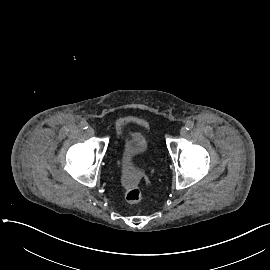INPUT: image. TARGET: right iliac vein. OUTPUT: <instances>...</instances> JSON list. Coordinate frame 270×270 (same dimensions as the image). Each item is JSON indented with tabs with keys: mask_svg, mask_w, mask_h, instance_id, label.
I'll return each instance as SVG.
<instances>
[{
	"mask_svg": "<svg viewBox=\"0 0 270 270\" xmlns=\"http://www.w3.org/2000/svg\"><path fill=\"white\" fill-rule=\"evenodd\" d=\"M87 133H88L90 136H93L94 133H95V131H94V129H93L92 127H89V128L87 129Z\"/></svg>",
	"mask_w": 270,
	"mask_h": 270,
	"instance_id": "1",
	"label": "right iliac vein"
}]
</instances>
